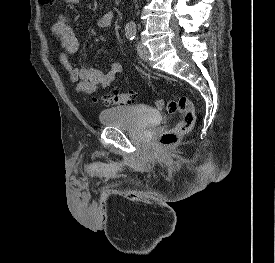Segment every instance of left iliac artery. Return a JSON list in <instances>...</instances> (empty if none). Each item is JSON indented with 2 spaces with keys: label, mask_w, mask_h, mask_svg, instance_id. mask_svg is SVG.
<instances>
[{
  "label": "left iliac artery",
  "mask_w": 275,
  "mask_h": 263,
  "mask_svg": "<svg viewBox=\"0 0 275 263\" xmlns=\"http://www.w3.org/2000/svg\"><path fill=\"white\" fill-rule=\"evenodd\" d=\"M125 30H126V36H127V38L129 40H133L135 38L136 31H137L136 26H134V25H128Z\"/></svg>",
  "instance_id": "left-iliac-artery-1"
}]
</instances>
